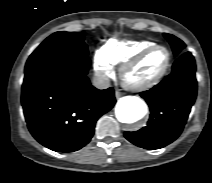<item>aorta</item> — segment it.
I'll return each instance as SVG.
<instances>
[{"mask_svg":"<svg viewBox=\"0 0 212 183\" xmlns=\"http://www.w3.org/2000/svg\"><path fill=\"white\" fill-rule=\"evenodd\" d=\"M147 113V105L136 96L121 98L115 108L117 119L122 123L132 124L141 120Z\"/></svg>","mask_w":212,"mask_h":183,"instance_id":"1","label":"aorta"}]
</instances>
